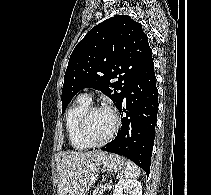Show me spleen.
Here are the masks:
<instances>
[{"label": "spleen", "mask_w": 211, "mask_h": 195, "mask_svg": "<svg viewBox=\"0 0 211 195\" xmlns=\"http://www.w3.org/2000/svg\"><path fill=\"white\" fill-rule=\"evenodd\" d=\"M140 175V168L133 162L128 161L125 169L121 172V176L129 178H137Z\"/></svg>", "instance_id": "3e777b00"}]
</instances>
